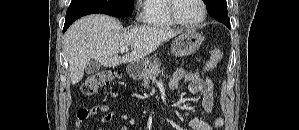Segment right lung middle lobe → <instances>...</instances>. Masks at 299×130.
I'll return each instance as SVG.
<instances>
[{
  "mask_svg": "<svg viewBox=\"0 0 299 130\" xmlns=\"http://www.w3.org/2000/svg\"><path fill=\"white\" fill-rule=\"evenodd\" d=\"M134 0H72L69 9H95L105 13L130 16L133 12Z\"/></svg>",
  "mask_w": 299,
  "mask_h": 130,
  "instance_id": "1",
  "label": "right lung middle lobe"
}]
</instances>
